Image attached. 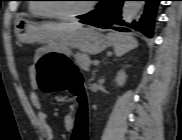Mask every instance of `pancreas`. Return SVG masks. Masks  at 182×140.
<instances>
[{"label": "pancreas", "mask_w": 182, "mask_h": 140, "mask_svg": "<svg viewBox=\"0 0 182 140\" xmlns=\"http://www.w3.org/2000/svg\"><path fill=\"white\" fill-rule=\"evenodd\" d=\"M74 58H75L76 63L83 70H87L90 67L91 60L88 55H86L84 53H76L74 55Z\"/></svg>", "instance_id": "cf45deb5"}]
</instances>
